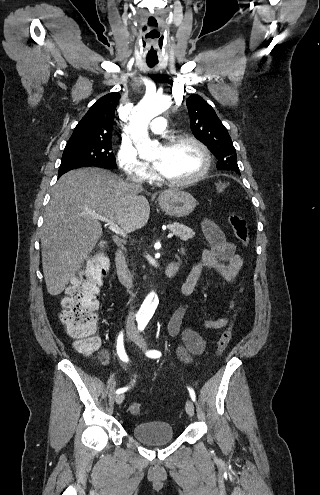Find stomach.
<instances>
[{
  "label": "stomach",
  "mask_w": 320,
  "mask_h": 495,
  "mask_svg": "<svg viewBox=\"0 0 320 495\" xmlns=\"http://www.w3.org/2000/svg\"><path fill=\"white\" fill-rule=\"evenodd\" d=\"M158 201L162 211L177 218L189 215L196 207V199L189 193L180 190L163 193Z\"/></svg>",
  "instance_id": "obj_1"
}]
</instances>
